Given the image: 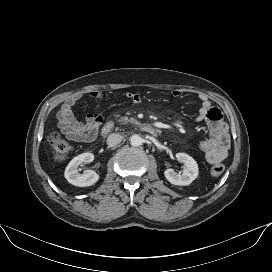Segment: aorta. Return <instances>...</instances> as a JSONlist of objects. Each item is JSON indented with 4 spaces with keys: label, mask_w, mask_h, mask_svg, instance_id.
Returning <instances> with one entry per match:
<instances>
[{
    "label": "aorta",
    "mask_w": 272,
    "mask_h": 272,
    "mask_svg": "<svg viewBox=\"0 0 272 272\" xmlns=\"http://www.w3.org/2000/svg\"><path fill=\"white\" fill-rule=\"evenodd\" d=\"M143 139L139 135H132L130 137V144L134 147L142 145Z\"/></svg>",
    "instance_id": "aorta-1"
}]
</instances>
